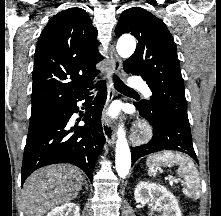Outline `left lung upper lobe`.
<instances>
[{"label": "left lung upper lobe", "mask_w": 221, "mask_h": 216, "mask_svg": "<svg viewBox=\"0 0 221 216\" xmlns=\"http://www.w3.org/2000/svg\"><path fill=\"white\" fill-rule=\"evenodd\" d=\"M115 33L117 36L130 33L138 40L124 70L141 75L152 91L150 100L139 105L189 125L176 44L165 23L145 9L134 7L122 12Z\"/></svg>", "instance_id": "left-lung-upper-lobe-1"}]
</instances>
